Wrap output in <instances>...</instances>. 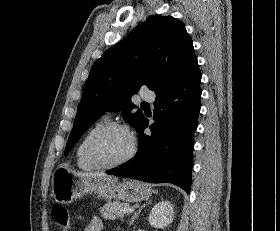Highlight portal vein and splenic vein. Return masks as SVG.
<instances>
[{"mask_svg": "<svg viewBox=\"0 0 280 231\" xmlns=\"http://www.w3.org/2000/svg\"><path fill=\"white\" fill-rule=\"evenodd\" d=\"M122 211H124V213H129V211H134L133 207H123Z\"/></svg>", "mask_w": 280, "mask_h": 231, "instance_id": "1", "label": "portal vein and splenic vein"}]
</instances>
